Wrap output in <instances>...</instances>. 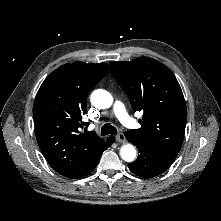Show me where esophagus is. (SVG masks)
I'll return each mask as SVG.
<instances>
[{"label": "esophagus", "mask_w": 221, "mask_h": 221, "mask_svg": "<svg viewBox=\"0 0 221 221\" xmlns=\"http://www.w3.org/2000/svg\"><path fill=\"white\" fill-rule=\"evenodd\" d=\"M116 140L118 142H124L126 140L125 138V135L123 133H119L117 136H116Z\"/></svg>", "instance_id": "1"}]
</instances>
